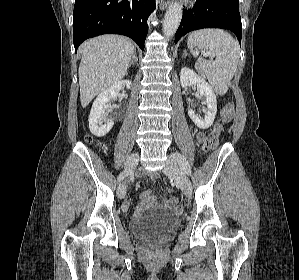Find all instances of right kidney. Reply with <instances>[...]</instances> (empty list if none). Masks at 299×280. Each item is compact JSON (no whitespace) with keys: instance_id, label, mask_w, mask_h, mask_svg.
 <instances>
[{"instance_id":"obj_1","label":"right kidney","mask_w":299,"mask_h":280,"mask_svg":"<svg viewBox=\"0 0 299 280\" xmlns=\"http://www.w3.org/2000/svg\"><path fill=\"white\" fill-rule=\"evenodd\" d=\"M126 86L130 89L132 82L130 80H122L116 82L108 89L102 91L93 102L89 115V129L91 133L97 137L105 136L113 127L114 119H110L103 124L102 119L105 111L110 106V101L116 98L119 91Z\"/></svg>"}]
</instances>
